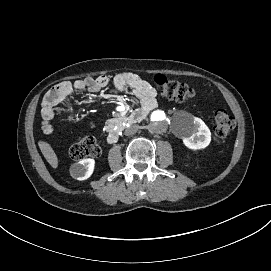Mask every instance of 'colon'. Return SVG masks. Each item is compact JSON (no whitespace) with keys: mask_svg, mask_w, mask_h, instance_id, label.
<instances>
[{"mask_svg":"<svg viewBox=\"0 0 271 271\" xmlns=\"http://www.w3.org/2000/svg\"><path fill=\"white\" fill-rule=\"evenodd\" d=\"M159 88L162 96L176 101L186 102L195 97V91L189 86L177 81L168 80L163 75H156L153 79ZM235 120L225 110H218L214 115L213 137L216 142L223 141L234 129ZM100 147L96 140L91 136L82 138L79 142L71 146L69 150L70 157L73 160H82L87 157H98L100 155Z\"/></svg>","mask_w":271,"mask_h":271,"instance_id":"1","label":"colon"}]
</instances>
